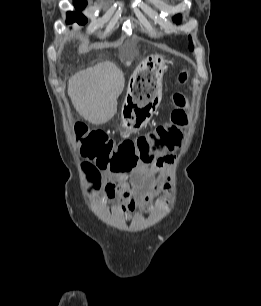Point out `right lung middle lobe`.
<instances>
[{"label":"right lung middle lobe","instance_id":"obj_1","mask_svg":"<svg viewBox=\"0 0 261 306\" xmlns=\"http://www.w3.org/2000/svg\"><path fill=\"white\" fill-rule=\"evenodd\" d=\"M74 5L77 10H82L87 5V2L85 0H80V1L74 2ZM73 22H77L79 24H85L87 22V18L78 12H68L67 13V23L70 24Z\"/></svg>","mask_w":261,"mask_h":306}]
</instances>
